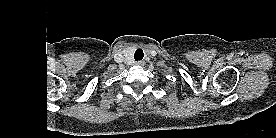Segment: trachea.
<instances>
[{
    "label": "trachea",
    "mask_w": 276,
    "mask_h": 138,
    "mask_svg": "<svg viewBox=\"0 0 276 138\" xmlns=\"http://www.w3.org/2000/svg\"><path fill=\"white\" fill-rule=\"evenodd\" d=\"M143 57H144V53H143V50L142 49H137L136 51H135V54H134V58H135V60L136 61H140V60H142L143 59Z\"/></svg>",
    "instance_id": "3493384b"
}]
</instances>
